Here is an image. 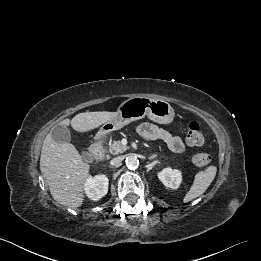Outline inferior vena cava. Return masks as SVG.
<instances>
[{
	"label": "inferior vena cava",
	"mask_w": 261,
	"mask_h": 261,
	"mask_svg": "<svg viewBox=\"0 0 261 261\" xmlns=\"http://www.w3.org/2000/svg\"><path fill=\"white\" fill-rule=\"evenodd\" d=\"M122 160H123V158L121 156H118V157H115L114 159H112L110 161V164L112 166H119L121 164Z\"/></svg>",
	"instance_id": "1"
}]
</instances>
